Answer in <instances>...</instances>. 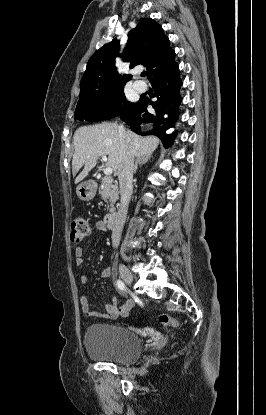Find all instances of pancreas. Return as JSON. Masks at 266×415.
<instances>
[{"mask_svg":"<svg viewBox=\"0 0 266 415\" xmlns=\"http://www.w3.org/2000/svg\"><path fill=\"white\" fill-rule=\"evenodd\" d=\"M99 194L102 199L108 203L107 210L110 213H114V204L118 199V187L113 184V179L111 177L102 178Z\"/></svg>","mask_w":266,"mask_h":415,"instance_id":"pancreas-1","label":"pancreas"}]
</instances>
